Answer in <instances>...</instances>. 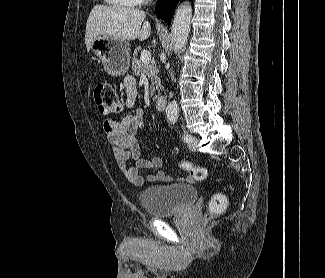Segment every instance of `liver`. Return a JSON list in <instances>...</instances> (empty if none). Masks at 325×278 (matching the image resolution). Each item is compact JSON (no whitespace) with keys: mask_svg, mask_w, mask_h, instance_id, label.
<instances>
[{"mask_svg":"<svg viewBox=\"0 0 325 278\" xmlns=\"http://www.w3.org/2000/svg\"><path fill=\"white\" fill-rule=\"evenodd\" d=\"M146 13L141 9L121 6L96 5L86 23L85 44L89 51L98 36L120 40L140 41L147 39L151 26L145 21ZM142 26V28H141Z\"/></svg>","mask_w":325,"mask_h":278,"instance_id":"1","label":"liver"}]
</instances>
